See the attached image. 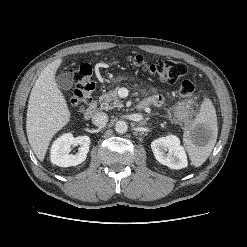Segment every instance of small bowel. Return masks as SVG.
<instances>
[{
    "label": "small bowel",
    "instance_id": "obj_1",
    "mask_svg": "<svg viewBox=\"0 0 247 247\" xmlns=\"http://www.w3.org/2000/svg\"><path fill=\"white\" fill-rule=\"evenodd\" d=\"M163 102V98L161 95L154 93L152 96H150L148 99H146L143 104L149 105V104H154V105H160Z\"/></svg>",
    "mask_w": 247,
    "mask_h": 247
}]
</instances>
